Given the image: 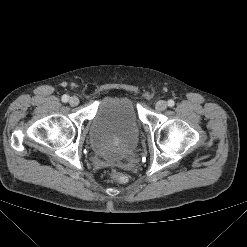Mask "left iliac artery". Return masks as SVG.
Instances as JSON below:
<instances>
[{"mask_svg": "<svg viewBox=\"0 0 247 247\" xmlns=\"http://www.w3.org/2000/svg\"><path fill=\"white\" fill-rule=\"evenodd\" d=\"M174 104H175V102H174L173 100H169V101H168V106H169V107H173Z\"/></svg>", "mask_w": 247, "mask_h": 247, "instance_id": "left-iliac-artery-1", "label": "left iliac artery"}]
</instances>
